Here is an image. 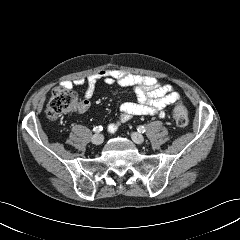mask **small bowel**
I'll return each mask as SVG.
<instances>
[{"instance_id": "c3829d8e", "label": "small bowel", "mask_w": 240, "mask_h": 240, "mask_svg": "<svg viewBox=\"0 0 240 240\" xmlns=\"http://www.w3.org/2000/svg\"><path fill=\"white\" fill-rule=\"evenodd\" d=\"M100 80L107 85H118L130 89L134 94L133 100L121 104L118 119L109 125L110 132H114L122 122L136 116L158 115L164 117L166 109L180 99L179 93L171 85L160 84L154 77L140 76L122 70L101 69L86 79L65 81V86L69 88L85 86L83 101L80 105L81 112L90 106V99Z\"/></svg>"}]
</instances>
